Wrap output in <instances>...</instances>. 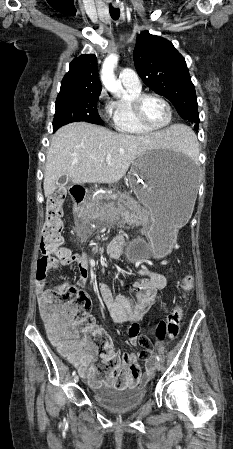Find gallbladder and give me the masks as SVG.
I'll list each match as a JSON object with an SVG mask.
<instances>
[{"instance_id": "obj_1", "label": "gallbladder", "mask_w": 233, "mask_h": 449, "mask_svg": "<svg viewBox=\"0 0 233 449\" xmlns=\"http://www.w3.org/2000/svg\"><path fill=\"white\" fill-rule=\"evenodd\" d=\"M67 182H68V178H66V177H61L59 179V182L57 184V193L59 195H64L65 194L64 186L67 184Z\"/></svg>"}]
</instances>
